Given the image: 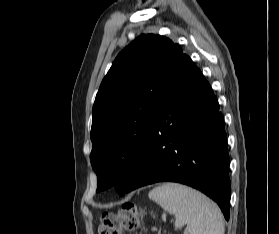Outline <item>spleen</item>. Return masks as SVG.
<instances>
[{
  "label": "spleen",
  "mask_w": 279,
  "mask_h": 234,
  "mask_svg": "<svg viewBox=\"0 0 279 234\" xmlns=\"http://www.w3.org/2000/svg\"><path fill=\"white\" fill-rule=\"evenodd\" d=\"M148 196L174 214L177 228L187 225V234H224L219 207L199 191L177 183H164L152 189Z\"/></svg>",
  "instance_id": "3e777b00"
}]
</instances>
